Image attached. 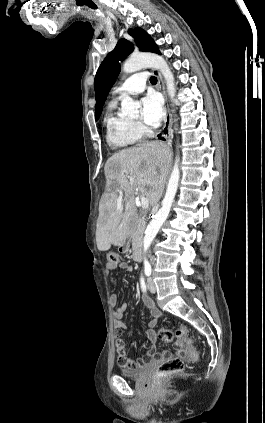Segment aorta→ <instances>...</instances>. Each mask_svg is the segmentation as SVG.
Here are the masks:
<instances>
[{"instance_id":"aorta-1","label":"aorta","mask_w":265,"mask_h":423,"mask_svg":"<svg viewBox=\"0 0 265 423\" xmlns=\"http://www.w3.org/2000/svg\"><path fill=\"white\" fill-rule=\"evenodd\" d=\"M152 67L158 69L163 75L167 87V92L171 99L175 97V81L174 75L171 72L165 59L154 53H139L133 54L123 65V71L125 73H133L142 68ZM140 107L139 102L133 100L130 96L124 95L121 101V113L123 115H133L138 112ZM179 156L176 157L170 179L168 181L167 190L165 197L162 201L161 208L152 218L148 227L145 231V236L143 239V251L146 253L151 246L152 241L157 235L159 229L167 219L174 197L176 195L179 179H180V170H179ZM144 262L147 263L146 257Z\"/></svg>"}]
</instances>
